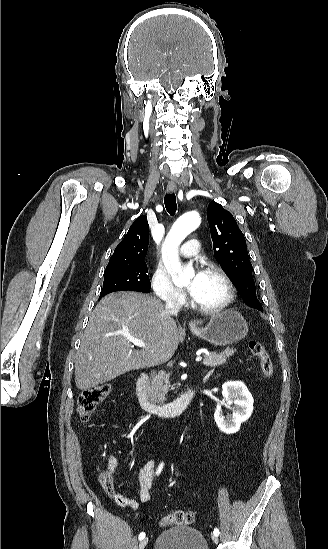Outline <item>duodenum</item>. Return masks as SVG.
<instances>
[{
	"mask_svg": "<svg viewBox=\"0 0 328 549\" xmlns=\"http://www.w3.org/2000/svg\"><path fill=\"white\" fill-rule=\"evenodd\" d=\"M148 384V374L146 372L141 373L136 383V395L143 410L156 416L170 417L182 413L190 404L196 393L193 388H189L177 399L168 403L158 404L150 400L148 396Z\"/></svg>",
	"mask_w": 328,
	"mask_h": 549,
	"instance_id": "duodenum-1",
	"label": "duodenum"
}]
</instances>
